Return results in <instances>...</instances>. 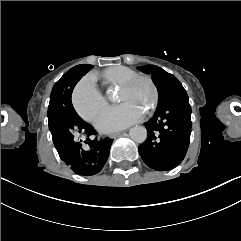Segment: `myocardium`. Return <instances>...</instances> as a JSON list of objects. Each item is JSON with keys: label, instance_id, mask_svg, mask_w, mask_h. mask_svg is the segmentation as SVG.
<instances>
[{"label": "myocardium", "instance_id": "obj_1", "mask_svg": "<svg viewBox=\"0 0 241 241\" xmlns=\"http://www.w3.org/2000/svg\"><path fill=\"white\" fill-rule=\"evenodd\" d=\"M148 76V77H147ZM140 78H148V80H152L151 82H152V84L154 85L153 86V96H152V101H151V103L149 104V109H154V107L156 106V102H157V100H158V98H159V91H160V86H159V81H158V79H156V78H154L153 77V75H147V73H140V72H137V73H134V74H130V75H127V76H125L124 78H123V80H122V85L123 86H129L131 83H133L135 80H138V79H140ZM154 78V79H153Z\"/></svg>", "mask_w": 241, "mask_h": 241}]
</instances>
